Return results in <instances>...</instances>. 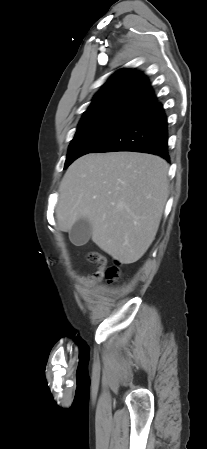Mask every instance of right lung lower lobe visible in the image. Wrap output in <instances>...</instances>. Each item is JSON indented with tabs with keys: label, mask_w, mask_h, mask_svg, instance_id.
Segmentation results:
<instances>
[{
	"label": "right lung lower lobe",
	"mask_w": 207,
	"mask_h": 449,
	"mask_svg": "<svg viewBox=\"0 0 207 449\" xmlns=\"http://www.w3.org/2000/svg\"><path fill=\"white\" fill-rule=\"evenodd\" d=\"M167 125L163 106L156 101L135 113L92 152H144L169 160Z\"/></svg>",
	"instance_id": "1"
}]
</instances>
